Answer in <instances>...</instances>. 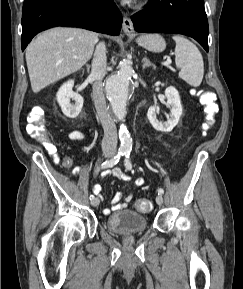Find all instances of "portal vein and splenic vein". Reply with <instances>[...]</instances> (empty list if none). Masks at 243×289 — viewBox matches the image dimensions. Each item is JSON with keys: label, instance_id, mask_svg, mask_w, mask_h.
Instances as JSON below:
<instances>
[{"label": "portal vein and splenic vein", "instance_id": "18ae733b", "mask_svg": "<svg viewBox=\"0 0 243 289\" xmlns=\"http://www.w3.org/2000/svg\"><path fill=\"white\" fill-rule=\"evenodd\" d=\"M162 64L165 65V66L170 65V64H171V59L168 58V59H167L165 62H163Z\"/></svg>", "mask_w": 243, "mask_h": 289}]
</instances>
